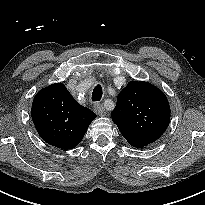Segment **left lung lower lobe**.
I'll return each mask as SVG.
<instances>
[{
    "label": "left lung lower lobe",
    "mask_w": 205,
    "mask_h": 205,
    "mask_svg": "<svg viewBox=\"0 0 205 205\" xmlns=\"http://www.w3.org/2000/svg\"><path fill=\"white\" fill-rule=\"evenodd\" d=\"M131 146L133 147H136V148H142L143 146H140V145H137V144H134V143H129Z\"/></svg>",
    "instance_id": "1"
}]
</instances>
